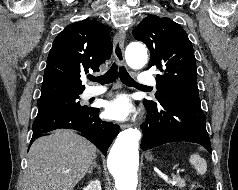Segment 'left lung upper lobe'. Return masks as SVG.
I'll list each match as a JSON object with an SVG mask.
<instances>
[{
    "label": "left lung upper lobe",
    "mask_w": 238,
    "mask_h": 190,
    "mask_svg": "<svg viewBox=\"0 0 238 190\" xmlns=\"http://www.w3.org/2000/svg\"><path fill=\"white\" fill-rule=\"evenodd\" d=\"M133 35L151 51L148 68L156 66L159 71L156 78L158 103L168 97L199 99L193 47L179 24L168 18L149 15L133 30Z\"/></svg>",
    "instance_id": "5c2ea615"
}]
</instances>
